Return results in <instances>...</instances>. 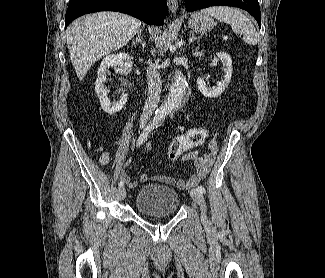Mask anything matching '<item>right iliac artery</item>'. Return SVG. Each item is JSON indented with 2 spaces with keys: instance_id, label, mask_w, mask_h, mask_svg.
<instances>
[{
  "instance_id": "obj_1",
  "label": "right iliac artery",
  "mask_w": 325,
  "mask_h": 278,
  "mask_svg": "<svg viewBox=\"0 0 325 278\" xmlns=\"http://www.w3.org/2000/svg\"><path fill=\"white\" fill-rule=\"evenodd\" d=\"M154 129V125H148L147 127L144 128L143 132L141 133V135L139 136L136 146H141L145 140H147V137L149 135V133ZM119 187H123L124 183L121 181L119 182Z\"/></svg>"
}]
</instances>
